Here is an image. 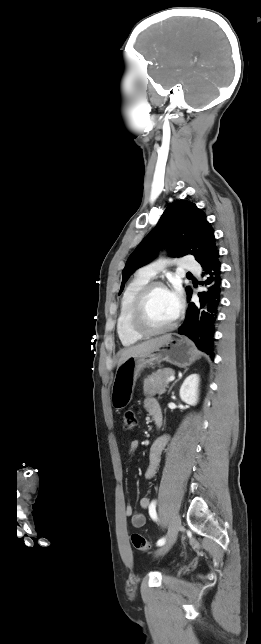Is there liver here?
<instances>
[{
	"instance_id": "obj_1",
	"label": "liver",
	"mask_w": 261,
	"mask_h": 644,
	"mask_svg": "<svg viewBox=\"0 0 261 644\" xmlns=\"http://www.w3.org/2000/svg\"><path fill=\"white\" fill-rule=\"evenodd\" d=\"M171 338V335H163L161 337L151 339L145 342H142L140 344H137L135 346L128 347L124 350L121 351L120 354V359L118 361V367L126 361L128 358L132 356H138L141 354H146L149 353L153 350H155L158 347H161L165 343H167Z\"/></svg>"
}]
</instances>
